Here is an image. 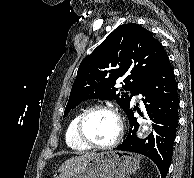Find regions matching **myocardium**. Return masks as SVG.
<instances>
[{
    "instance_id": "obj_1",
    "label": "myocardium",
    "mask_w": 194,
    "mask_h": 178,
    "mask_svg": "<svg viewBox=\"0 0 194 178\" xmlns=\"http://www.w3.org/2000/svg\"><path fill=\"white\" fill-rule=\"evenodd\" d=\"M106 111L111 113L117 120L118 123V131L115 136V138L107 144H97L89 140L84 131H83V125L84 121L87 118V116L94 112V111ZM124 132V123L123 119L120 115V113L111 105H103V104H98V105H93L85 109L79 116L77 123H76V136L79 139L80 142H82L84 145H86L89 148H95V149H110L115 147L121 140Z\"/></svg>"
}]
</instances>
